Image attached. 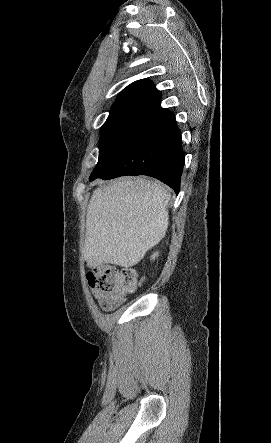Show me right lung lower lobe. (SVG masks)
<instances>
[{
  "label": "right lung lower lobe",
  "instance_id": "1",
  "mask_svg": "<svg viewBox=\"0 0 271 443\" xmlns=\"http://www.w3.org/2000/svg\"><path fill=\"white\" fill-rule=\"evenodd\" d=\"M183 166L184 152L174 114L158 104L139 119L107 166L91 174L89 180L147 175L178 194Z\"/></svg>",
  "mask_w": 271,
  "mask_h": 443
}]
</instances>
